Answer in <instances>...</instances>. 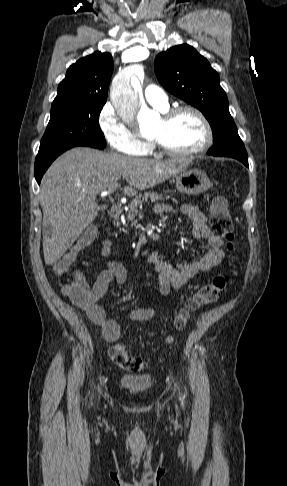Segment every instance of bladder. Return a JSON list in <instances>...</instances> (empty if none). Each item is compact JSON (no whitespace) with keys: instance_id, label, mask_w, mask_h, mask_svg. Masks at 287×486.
Instances as JSON below:
<instances>
[{"instance_id":"1","label":"bladder","mask_w":287,"mask_h":486,"mask_svg":"<svg viewBox=\"0 0 287 486\" xmlns=\"http://www.w3.org/2000/svg\"><path fill=\"white\" fill-rule=\"evenodd\" d=\"M122 388L134 394L146 392L152 385V380L146 375H124L120 379Z\"/></svg>"}]
</instances>
